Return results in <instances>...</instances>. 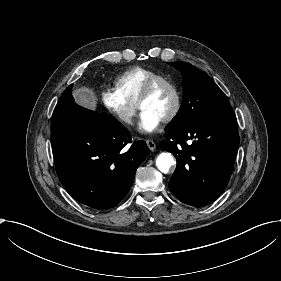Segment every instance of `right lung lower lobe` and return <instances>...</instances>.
<instances>
[{
	"label": "right lung lower lobe",
	"mask_w": 281,
	"mask_h": 281,
	"mask_svg": "<svg viewBox=\"0 0 281 281\" xmlns=\"http://www.w3.org/2000/svg\"><path fill=\"white\" fill-rule=\"evenodd\" d=\"M71 93L72 85L63 92L51 120L58 177L78 202L98 210L112 208L129 192L149 149L140 140L124 152L132 142L128 129L108 114L80 107Z\"/></svg>",
	"instance_id": "obj_1"
}]
</instances>
